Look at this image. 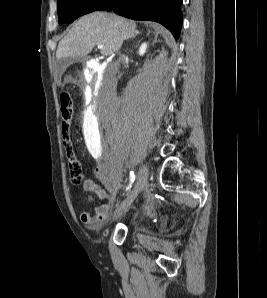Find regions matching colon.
Here are the masks:
<instances>
[{
	"instance_id": "obj_1",
	"label": "colon",
	"mask_w": 267,
	"mask_h": 298,
	"mask_svg": "<svg viewBox=\"0 0 267 298\" xmlns=\"http://www.w3.org/2000/svg\"><path fill=\"white\" fill-rule=\"evenodd\" d=\"M61 102H62V108H61L62 116H63V119L66 121L70 119L72 114V101H71L70 95L67 92H64L61 95ZM66 126L67 125L64 122L63 130H62L63 146L65 149L66 157L68 161L70 180L73 184L78 185L82 183L84 179V172L80 161L77 159L73 151V147H72Z\"/></svg>"
}]
</instances>
